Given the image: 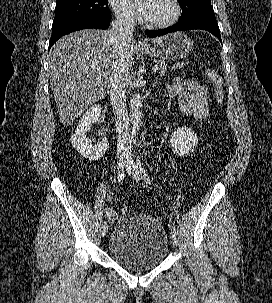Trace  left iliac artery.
Here are the masks:
<instances>
[{
  "label": "left iliac artery",
  "mask_w": 272,
  "mask_h": 303,
  "mask_svg": "<svg viewBox=\"0 0 272 303\" xmlns=\"http://www.w3.org/2000/svg\"><path fill=\"white\" fill-rule=\"evenodd\" d=\"M136 164L140 170V173L143 177V179L146 181V183L150 184L151 185V180H150V177L149 175L147 174L142 162H141V159L139 156L136 157ZM172 233H174L175 235H178V231L176 230L175 227L172 228Z\"/></svg>",
  "instance_id": "1"
}]
</instances>
